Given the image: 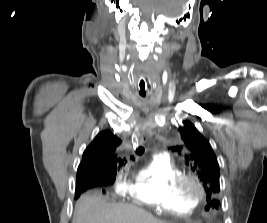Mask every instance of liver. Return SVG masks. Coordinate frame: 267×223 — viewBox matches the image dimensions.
Segmentation results:
<instances>
[{"mask_svg":"<svg viewBox=\"0 0 267 223\" xmlns=\"http://www.w3.org/2000/svg\"><path fill=\"white\" fill-rule=\"evenodd\" d=\"M72 223H166L146 210L124 203H108L97 193L83 195L76 203Z\"/></svg>","mask_w":267,"mask_h":223,"instance_id":"liver-1","label":"liver"}]
</instances>
